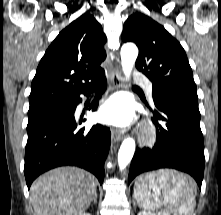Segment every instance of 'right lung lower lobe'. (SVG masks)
Wrapping results in <instances>:
<instances>
[{"label":"right lung lower lobe","mask_w":221,"mask_h":215,"mask_svg":"<svg viewBox=\"0 0 221 215\" xmlns=\"http://www.w3.org/2000/svg\"><path fill=\"white\" fill-rule=\"evenodd\" d=\"M98 88L92 111L97 109L99 96L106 89L105 77ZM92 89L81 94L88 95ZM80 102V95H77L28 116L24 165L28 188L40 174L65 165L92 172L102 184L104 162L110 148V129L97 124L89 130H85V127L77 130L74 114ZM81 123L82 120L79 121Z\"/></svg>","instance_id":"right-lung-lower-lobe-1"}]
</instances>
